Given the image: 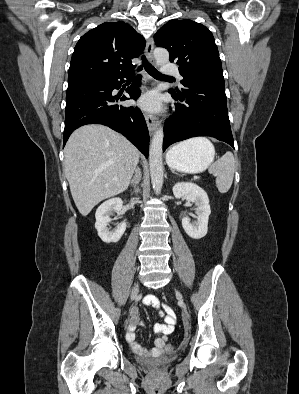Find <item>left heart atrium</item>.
Segmentation results:
<instances>
[{"label":"left heart atrium","instance_id":"obj_1","mask_svg":"<svg viewBox=\"0 0 299 394\" xmlns=\"http://www.w3.org/2000/svg\"><path fill=\"white\" fill-rule=\"evenodd\" d=\"M139 104L142 108L148 111H157L161 106V99L158 93L151 92L144 95Z\"/></svg>","mask_w":299,"mask_h":394}]
</instances>
